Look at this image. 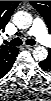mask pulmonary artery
Returning <instances> with one entry per match:
<instances>
[{
  "label": "pulmonary artery",
  "instance_id": "obj_1",
  "mask_svg": "<svg viewBox=\"0 0 51 101\" xmlns=\"http://www.w3.org/2000/svg\"><path fill=\"white\" fill-rule=\"evenodd\" d=\"M28 33L35 35L37 39L40 40L41 42L45 44L48 43V36L45 34L43 26L40 21H34Z\"/></svg>",
  "mask_w": 51,
  "mask_h": 101
}]
</instances>
